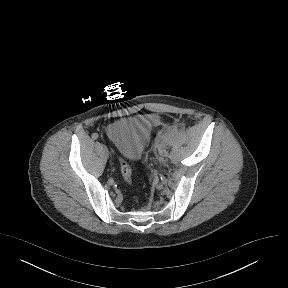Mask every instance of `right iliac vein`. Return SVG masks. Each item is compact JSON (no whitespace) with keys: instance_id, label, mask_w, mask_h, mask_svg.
I'll return each instance as SVG.
<instances>
[{"instance_id":"63e3f726","label":"right iliac vein","mask_w":288,"mask_h":288,"mask_svg":"<svg viewBox=\"0 0 288 288\" xmlns=\"http://www.w3.org/2000/svg\"><path fill=\"white\" fill-rule=\"evenodd\" d=\"M104 153L107 157L109 156V150L106 146H104Z\"/></svg>"}]
</instances>
